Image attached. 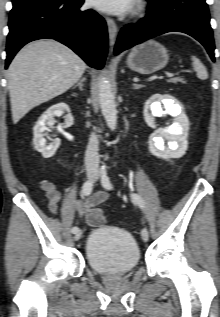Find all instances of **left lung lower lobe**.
I'll list each match as a JSON object with an SVG mask.
<instances>
[{"instance_id":"left-lung-lower-lobe-1","label":"left lung lower lobe","mask_w":220,"mask_h":317,"mask_svg":"<svg viewBox=\"0 0 220 317\" xmlns=\"http://www.w3.org/2000/svg\"><path fill=\"white\" fill-rule=\"evenodd\" d=\"M147 16L135 26L124 27L118 37L114 53L141 43L151 37L171 32H183L201 42L211 59L214 41L210 16L205 0H147Z\"/></svg>"}]
</instances>
